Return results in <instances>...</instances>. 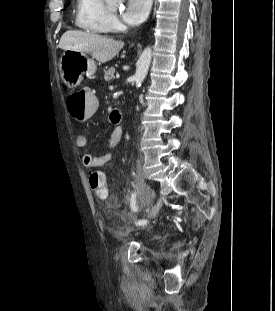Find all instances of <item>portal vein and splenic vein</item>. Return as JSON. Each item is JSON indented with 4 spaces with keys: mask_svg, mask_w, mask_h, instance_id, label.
<instances>
[{
    "mask_svg": "<svg viewBox=\"0 0 275 311\" xmlns=\"http://www.w3.org/2000/svg\"><path fill=\"white\" fill-rule=\"evenodd\" d=\"M119 77H120V75H119V74H117V75H116V78H119Z\"/></svg>",
    "mask_w": 275,
    "mask_h": 311,
    "instance_id": "portal-vein-and-splenic-vein-1",
    "label": "portal vein and splenic vein"
}]
</instances>
